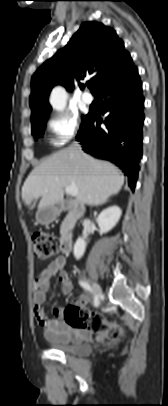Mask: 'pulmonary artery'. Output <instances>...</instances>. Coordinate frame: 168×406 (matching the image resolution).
Wrapping results in <instances>:
<instances>
[{
    "instance_id": "obj_1",
    "label": "pulmonary artery",
    "mask_w": 168,
    "mask_h": 406,
    "mask_svg": "<svg viewBox=\"0 0 168 406\" xmlns=\"http://www.w3.org/2000/svg\"><path fill=\"white\" fill-rule=\"evenodd\" d=\"M82 98L86 104H91L93 102V96L89 92H85Z\"/></svg>"
}]
</instances>
